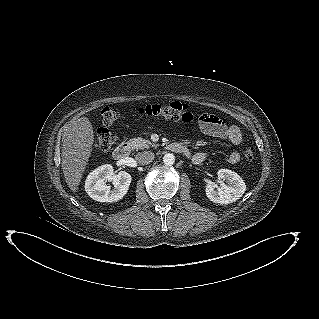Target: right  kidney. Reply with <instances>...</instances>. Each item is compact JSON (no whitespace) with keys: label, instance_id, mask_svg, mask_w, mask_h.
Masks as SVG:
<instances>
[{"label":"right kidney","instance_id":"right-kidney-1","mask_svg":"<svg viewBox=\"0 0 319 319\" xmlns=\"http://www.w3.org/2000/svg\"><path fill=\"white\" fill-rule=\"evenodd\" d=\"M131 175L126 171L114 174V169L110 164L97 167L89 173L85 180V191L98 202H117L128 192ZM107 182H112L114 189H110Z\"/></svg>","mask_w":319,"mask_h":319}]
</instances>
